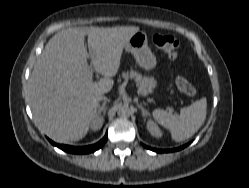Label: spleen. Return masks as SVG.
<instances>
[{"label": "spleen", "instance_id": "1", "mask_svg": "<svg viewBox=\"0 0 249 188\" xmlns=\"http://www.w3.org/2000/svg\"><path fill=\"white\" fill-rule=\"evenodd\" d=\"M205 98H202L188 107L180 110V115H172L167 111L156 109L153 118L164 128L171 132L172 139L176 142L184 141L193 136L206 119Z\"/></svg>", "mask_w": 249, "mask_h": 188}]
</instances>
